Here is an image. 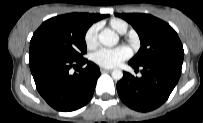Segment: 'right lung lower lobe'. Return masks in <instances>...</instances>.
<instances>
[{
    "instance_id": "right-lung-lower-lobe-1",
    "label": "right lung lower lobe",
    "mask_w": 203,
    "mask_h": 123,
    "mask_svg": "<svg viewBox=\"0 0 203 123\" xmlns=\"http://www.w3.org/2000/svg\"><path fill=\"white\" fill-rule=\"evenodd\" d=\"M87 64L85 68H82ZM29 65L40 95L54 109L68 112L86 105L96 86L100 69L85 58L69 60L65 57L33 53L29 54ZM78 73L71 74V68Z\"/></svg>"
}]
</instances>
